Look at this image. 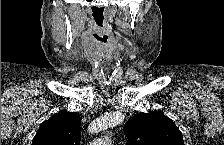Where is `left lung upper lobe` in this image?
Listing matches in <instances>:
<instances>
[{
  "label": "left lung upper lobe",
  "instance_id": "left-lung-upper-lobe-1",
  "mask_svg": "<svg viewBox=\"0 0 224 145\" xmlns=\"http://www.w3.org/2000/svg\"><path fill=\"white\" fill-rule=\"evenodd\" d=\"M123 130L130 145H183L181 131L160 111L136 114Z\"/></svg>",
  "mask_w": 224,
  "mask_h": 145
}]
</instances>
